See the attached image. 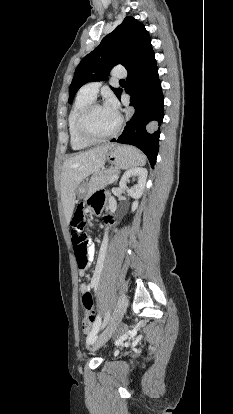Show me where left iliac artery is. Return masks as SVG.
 Listing matches in <instances>:
<instances>
[{"mask_svg": "<svg viewBox=\"0 0 233 414\" xmlns=\"http://www.w3.org/2000/svg\"><path fill=\"white\" fill-rule=\"evenodd\" d=\"M109 319H110V312H107V314L105 316V319H104V322H103V324L101 326L102 328H104L106 326V324L108 323ZM100 324H101V317L100 316H97L96 324H95V327H97V331H98V329L100 327Z\"/></svg>", "mask_w": 233, "mask_h": 414, "instance_id": "1", "label": "left iliac artery"}]
</instances>
